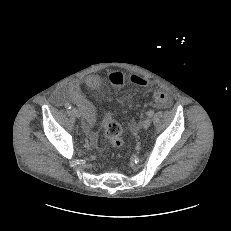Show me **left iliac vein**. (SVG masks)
<instances>
[{"label":"left iliac vein","instance_id":"left-iliac-vein-1","mask_svg":"<svg viewBox=\"0 0 231 231\" xmlns=\"http://www.w3.org/2000/svg\"><path fill=\"white\" fill-rule=\"evenodd\" d=\"M150 125H151V120H150V118H146V119L144 120V122H143V128H144L145 130H147V129L150 127Z\"/></svg>","mask_w":231,"mask_h":231}]
</instances>
